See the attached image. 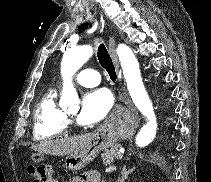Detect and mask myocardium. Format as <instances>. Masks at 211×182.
I'll use <instances>...</instances> for the list:
<instances>
[{
  "label": "myocardium",
  "mask_w": 211,
  "mask_h": 182,
  "mask_svg": "<svg viewBox=\"0 0 211 182\" xmlns=\"http://www.w3.org/2000/svg\"><path fill=\"white\" fill-rule=\"evenodd\" d=\"M66 119H67V124H69V123L72 122V119L71 118L66 117Z\"/></svg>",
  "instance_id": "f54148a6"
}]
</instances>
